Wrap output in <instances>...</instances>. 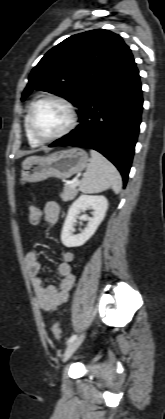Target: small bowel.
Returning a JSON list of instances; mask_svg holds the SVG:
<instances>
[{
	"instance_id": "obj_1",
	"label": "small bowel",
	"mask_w": 165,
	"mask_h": 419,
	"mask_svg": "<svg viewBox=\"0 0 165 419\" xmlns=\"http://www.w3.org/2000/svg\"><path fill=\"white\" fill-rule=\"evenodd\" d=\"M60 215V207L54 202L46 203L43 210V225H54ZM75 255L72 250L65 249L61 252V259L57 266L60 277L58 286H45L41 277L42 263L35 251H29L25 255V263L31 280L34 297L38 307L43 311H52L64 304L69 297V292L75 282L72 271V262Z\"/></svg>"
}]
</instances>
